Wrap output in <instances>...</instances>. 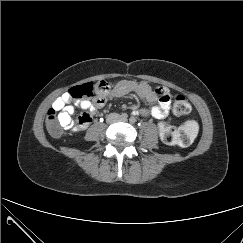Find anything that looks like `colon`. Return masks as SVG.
Masks as SVG:
<instances>
[{
    "mask_svg": "<svg viewBox=\"0 0 243 243\" xmlns=\"http://www.w3.org/2000/svg\"><path fill=\"white\" fill-rule=\"evenodd\" d=\"M111 89L108 82L102 80L97 83H84L72 87L68 93L71 98L77 100H86L92 98L97 94H107ZM160 100L170 98L169 91L164 87H158L155 90ZM173 111L176 115H186L191 111V106L187 99L180 94L174 96ZM91 122V116L89 113H83L78 119L80 126ZM46 127L50 135L59 137L62 134L63 126L61 125L58 114L55 109H49L46 116ZM160 137L166 144H176L180 146H187L195 139L198 133V124L193 120L186 121L180 128L176 129L170 124H159Z\"/></svg>",
    "mask_w": 243,
    "mask_h": 243,
    "instance_id": "1",
    "label": "colon"
}]
</instances>
